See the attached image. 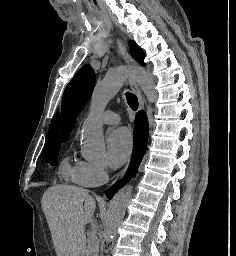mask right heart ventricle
<instances>
[{
  "instance_id": "1",
  "label": "right heart ventricle",
  "mask_w": 236,
  "mask_h": 256,
  "mask_svg": "<svg viewBox=\"0 0 236 256\" xmlns=\"http://www.w3.org/2000/svg\"><path fill=\"white\" fill-rule=\"evenodd\" d=\"M71 172L72 170L68 167L67 162L63 161L59 170L61 177L64 179H68L71 177Z\"/></svg>"
}]
</instances>
